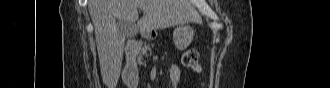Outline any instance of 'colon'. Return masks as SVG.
I'll return each instance as SVG.
<instances>
[{
    "label": "colon",
    "mask_w": 330,
    "mask_h": 88,
    "mask_svg": "<svg viewBox=\"0 0 330 88\" xmlns=\"http://www.w3.org/2000/svg\"><path fill=\"white\" fill-rule=\"evenodd\" d=\"M198 56V52L195 49L187 50L183 55V65L195 72H200L201 66L198 62Z\"/></svg>",
    "instance_id": "obj_1"
}]
</instances>
